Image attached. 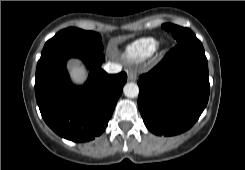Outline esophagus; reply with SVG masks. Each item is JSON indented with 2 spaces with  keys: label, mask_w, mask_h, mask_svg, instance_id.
<instances>
[{
  "label": "esophagus",
  "mask_w": 245,
  "mask_h": 170,
  "mask_svg": "<svg viewBox=\"0 0 245 170\" xmlns=\"http://www.w3.org/2000/svg\"><path fill=\"white\" fill-rule=\"evenodd\" d=\"M137 79V72L136 71H129L128 72V80L135 81Z\"/></svg>",
  "instance_id": "obj_1"
}]
</instances>
